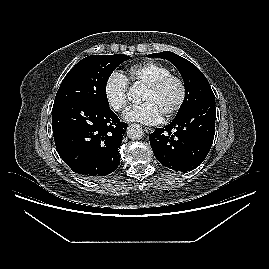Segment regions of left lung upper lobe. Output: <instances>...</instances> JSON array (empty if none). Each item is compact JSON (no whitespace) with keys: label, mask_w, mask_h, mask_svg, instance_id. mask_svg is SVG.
I'll use <instances>...</instances> for the list:
<instances>
[{"label":"left lung upper lobe","mask_w":269,"mask_h":269,"mask_svg":"<svg viewBox=\"0 0 269 269\" xmlns=\"http://www.w3.org/2000/svg\"><path fill=\"white\" fill-rule=\"evenodd\" d=\"M148 57L169 60L179 70L183 78L186 95L176 118L185 114L188 110L201 101L208 99L215 100L208 80L203 73L190 61L169 51L153 53L148 55Z\"/></svg>","instance_id":"left-lung-upper-lobe-1"}]
</instances>
